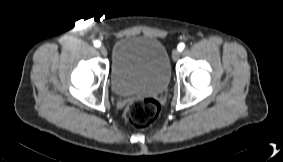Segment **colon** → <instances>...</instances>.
<instances>
[{"instance_id":"1","label":"colon","mask_w":283,"mask_h":162,"mask_svg":"<svg viewBox=\"0 0 283 162\" xmlns=\"http://www.w3.org/2000/svg\"><path fill=\"white\" fill-rule=\"evenodd\" d=\"M160 112L159 103L152 98L132 100L125 109V118L134 127L143 129L150 126Z\"/></svg>"}]
</instances>
